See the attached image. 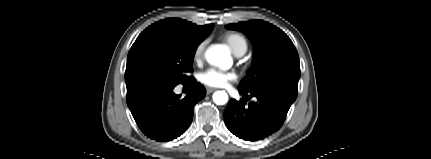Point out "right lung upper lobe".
Listing matches in <instances>:
<instances>
[{
	"label": "right lung upper lobe",
	"instance_id": "obj_1",
	"mask_svg": "<svg viewBox=\"0 0 431 159\" xmlns=\"http://www.w3.org/2000/svg\"><path fill=\"white\" fill-rule=\"evenodd\" d=\"M213 27L214 24L197 26L196 24L178 18L161 20L149 26V28L163 29L172 33H176L190 40L200 41L205 39L210 34Z\"/></svg>",
	"mask_w": 431,
	"mask_h": 159
}]
</instances>
